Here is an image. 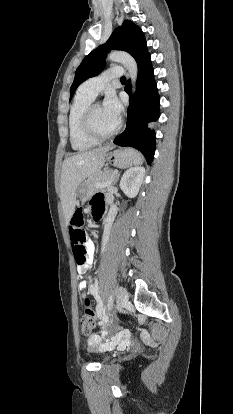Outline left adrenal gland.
Wrapping results in <instances>:
<instances>
[{
    "instance_id": "1",
    "label": "left adrenal gland",
    "mask_w": 233,
    "mask_h": 414,
    "mask_svg": "<svg viewBox=\"0 0 233 414\" xmlns=\"http://www.w3.org/2000/svg\"><path fill=\"white\" fill-rule=\"evenodd\" d=\"M119 177H120V172L116 175V178H115V180L113 182V185H115L118 182Z\"/></svg>"
}]
</instances>
